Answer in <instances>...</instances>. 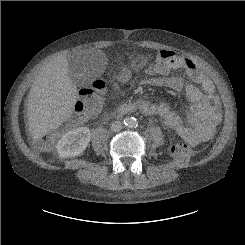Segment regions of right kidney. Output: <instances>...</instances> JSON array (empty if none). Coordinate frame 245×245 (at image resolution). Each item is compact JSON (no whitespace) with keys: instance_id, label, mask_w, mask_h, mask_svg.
I'll use <instances>...</instances> for the list:
<instances>
[{"instance_id":"1","label":"right kidney","mask_w":245,"mask_h":245,"mask_svg":"<svg viewBox=\"0 0 245 245\" xmlns=\"http://www.w3.org/2000/svg\"><path fill=\"white\" fill-rule=\"evenodd\" d=\"M90 137L91 132L87 127L68 131L57 143L58 155L64 158L80 155L87 148Z\"/></svg>"}]
</instances>
